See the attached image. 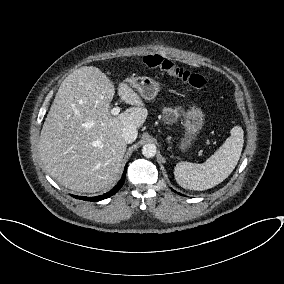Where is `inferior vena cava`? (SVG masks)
<instances>
[{"label":"inferior vena cava","mask_w":284,"mask_h":284,"mask_svg":"<svg viewBox=\"0 0 284 284\" xmlns=\"http://www.w3.org/2000/svg\"><path fill=\"white\" fill-rule=\"evenodd\" d=\"M137 134H138L137 128L132 125L125 126L121 133L122 138L126 143L134 142L137 138Z\"/></svg>","instance_id":"1"}]
</instances>
